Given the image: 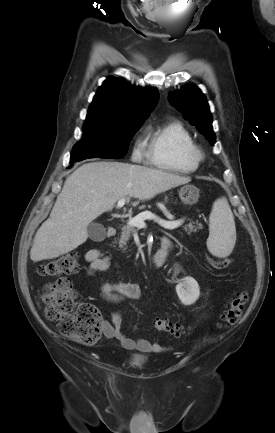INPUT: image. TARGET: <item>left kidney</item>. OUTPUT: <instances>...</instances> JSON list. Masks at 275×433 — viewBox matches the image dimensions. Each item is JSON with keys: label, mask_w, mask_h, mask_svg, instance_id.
Masks as SVG:
<instances>
[{"label": "left kidney", "mask_w": 275, "mask_h": 433, "mask_svg": "<svg viewBox=\"0 0 275 433\" xmlns=\"http://www.w3.org/2000/svg\"><path fill=\"white\" fill-rule=\"evenodd\" d=\"M176 292L184 305H191L199 298L200 288L194 278L187 276L176 286Z\"/></svg>", "instance_id": "5707ae66"}]
</instances>
